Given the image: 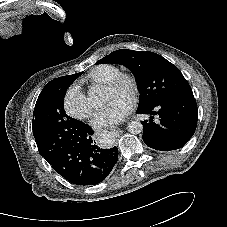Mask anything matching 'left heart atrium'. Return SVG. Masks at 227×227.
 <instances>
[{
	"mask_svg": "<svg viewBox=\"0 0 227 227\" xmlns=\"http://www.w3.org/2000/svg\"><path fill=\"white\" fill-rule=\"evenodd\" d=\"M133 107L130 98H116L110 101L96 116L97 127L114 126L122 122Z\"/></svg>",
	"mask_w": 227,
	"mask_h": 227,
	"instance_id": "left-heart-atrium-1",
	"label": "left heart atrium"
}]
</instances>
